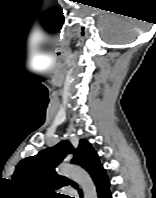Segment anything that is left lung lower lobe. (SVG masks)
<instances>
[{
    "label": "left lung lower lobe",
    "mask_w": 156,
    "mask_h": 198,
    "mask_svg": "<svg viewBox=\"0 0 156 198\" xmlns=\"http://www.w3.org/2000/svg\"><path fill=\"white\" fill-rule=\"evenodd\" d=\"M97 189L98 198H112V194L109 190L110 180L106 171H102L94 181ZM80 198H83L82 191H79Z\"/></svg>",
    "instance_id": "obj_1"
}]
</instances>
